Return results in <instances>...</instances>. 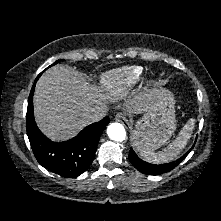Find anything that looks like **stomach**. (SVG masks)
Masks as SVG:
<instances>
[{"instance_id":"obj_1","label":"stomach","mask_w":221,"mask_h":221,"mask_svg":"<svg viewBox=\"0 0 221 221\" xmlns=\"http://www.w3.org/2000/svg\"><path fill=\"white\" fill-rule=\"evenodd\" d=\"M175 129L174 95L166 89L152 90L142 117L134 123L132 146L138 151H154L167 143Z\"/></svg>"}]
</instances>
